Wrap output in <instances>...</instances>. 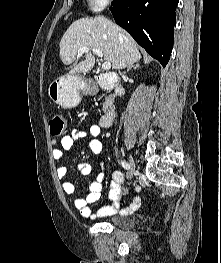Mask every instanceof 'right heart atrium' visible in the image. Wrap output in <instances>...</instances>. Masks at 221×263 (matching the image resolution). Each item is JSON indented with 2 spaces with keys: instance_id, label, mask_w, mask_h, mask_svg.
<instances>
[{
  "instance_id": "d8ad5b80",
  "label": "right heart atrium",
  "mask_w": 221,
  "mask_h": 263,
  "mask_svg": "<svg viewBox=\"0 0 221 263\" xmlns=\"http://www.w3.org/2000/svg\"><path fill=\"white\" fill-rule=\"evenodd\" d=\"M88 1V7L92 12H100L105 7L108 6V4L111 2V0H87Z\"/></svg>"
}]
</instances>
